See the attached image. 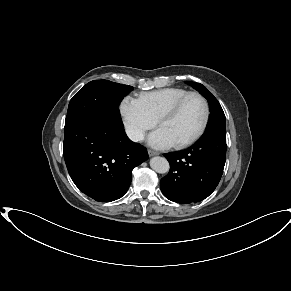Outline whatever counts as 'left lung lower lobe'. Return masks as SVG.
<instances>
[{
  "label": "left lung lower lobe",
  "mask_w": 291,
  "mask_h": 291,
  "mask_svg": "<svg viewBox=\"0 0 291 291\" xmlns=\"http://www.w3.org/2000/svg\"><path fill=\"white\" fill-rule=\"evenodd\" d=\"M164 156L170 171L160 181L163 195L177 203L202 201L221 179L226 159V132H205L188 149Z\"/></svg>",
  "instance_id": "obj_1"
}]
</instances>
